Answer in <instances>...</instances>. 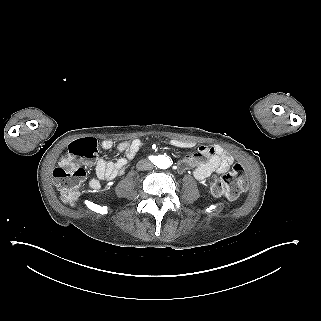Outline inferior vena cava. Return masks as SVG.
I'll use <instances>...</instances> for the list:
<instances>
[{"instance_id":"inferior-vena-cava-1","label":"inferior vena cava","mask_w":321,"mask_h":321,"mask_svg":"<svg viewBox=\"0 0 321 321\" xmlns=\"http://www.w3.org/2000/svg\"><path fill=\"white\" fill-rule=\"evenodd\" d=\"M153 168V163L148 160H140L137 163V169L139 171H150Z\"/></svg>"}]
</instances>
